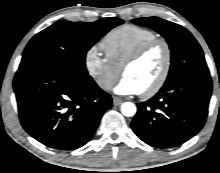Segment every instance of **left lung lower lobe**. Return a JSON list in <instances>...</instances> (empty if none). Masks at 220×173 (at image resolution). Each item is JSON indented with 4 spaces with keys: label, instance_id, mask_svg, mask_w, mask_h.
<instances>
[{
    "label": "left lung lower lobe",
    "instance_id": "left-lung-lower-lobe-1",
    "mask_svg": "<svg viewBox=\"0 0 220 173\" xmlns=\"http://www.w3.org/2000/svg\"><path fill=\"white\" fill-rule=\"evenodd\" d=\"M211 92L210 77L184 79L163 86L152 99L137 103L131 128L150 146H179L202 129Z\"/></svg>",
    "mask_w": 220,
    "mask_h": 173
}]
</instances>
